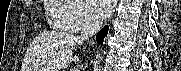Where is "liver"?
Listing matches in <instances>:
<instances>
[{
	"label": "liver",
	"instance_id": "obj_1",
	"mask_svg": "<svg viewBox=\"0 0 181 71\" xmlns=\"http://www.w3.org/2000/svg\"><path fill=\"white\" fill-rule=\"evenodd\" d=\"M80 43L75 36L62 32H43L30 45L25 56L22 71H60L72 61L75 46Z\"/></svg>",
	"mask_w": 181,
	"mask_h": 71
}]
</instances>
